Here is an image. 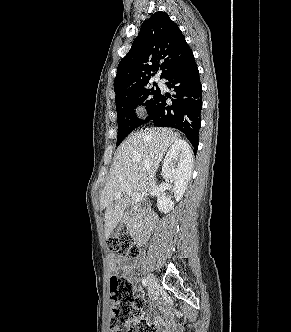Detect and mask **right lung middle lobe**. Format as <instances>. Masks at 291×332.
<instances>
[{"instance_id":"1","label":"right lung middle lobe","mask_w":291,"mask_h":332,"mask_svg":"<svg viewBox=\"0 0 291 332\" xmlns=\"http://www.w3.org/2000/svg\"><path fill=\"white\" fill-rule=\"evenodd\" d=\"M153 86L156 87L147 88L145 86L115 100L118 118L117 145L142 124V121L137 119L134 109L139 104H143L149 112L154 105L161 91L155 83Z\"/></svg>"}]
</instances>
